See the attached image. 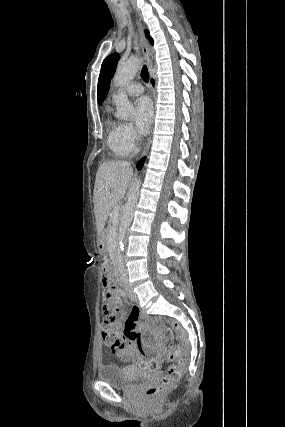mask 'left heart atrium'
<instances>
[{
	"instance_id": "obj_1",
	"label": "left heart atrium",
	"mask_w": 285,
	"mask_h": 427,
	"mask_svg": "<svg viewBox=\"0 0 285 427\" xmlns=\"http://www.w3.org/2000/svg\"><path fill=\"white\" fill-rule=\"evenodd\" d=\"M152 119L153 107L150 100L145 97L139 98L134 104V121L140 134L147 133Z\"/></svg>"
}]
</instances>
